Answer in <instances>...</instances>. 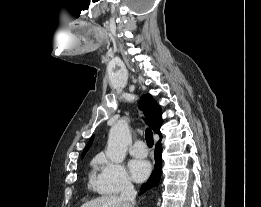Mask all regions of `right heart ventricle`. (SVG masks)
Segmentation results:
<instances>
[{
	"mask_svg": "<svg viewBox=\"0 0 261 207\" xmlns=\"http://www.w3.org/2000/svg\"><path fill=\"white\" fill-rule=\"evenodd\" d=\"M98 158H99V157H96V158H94V159L92 160V164H93L94 166L98 165Z\"/></svg>",
	"mask_w": 261,
	"mask_h": 207,
	"instance_id": "right-heart-ventricle-1",
	"label": "right heart ventricle"
}]
</instances>
